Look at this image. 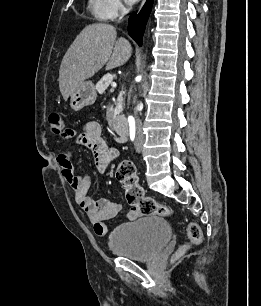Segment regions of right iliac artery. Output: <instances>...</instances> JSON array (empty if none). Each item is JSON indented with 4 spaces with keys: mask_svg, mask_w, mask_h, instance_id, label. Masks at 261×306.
Listing matches in <instances>:
<instances>
[{
    "mask_svg": "<svg viewBox=\"0 0 261 306\" xmlns=\"http://www.w3.org/2000/svg\"><path fill=\"white\" fill-rule=\"evenodd\" d=\"M130 138L133 141L135 138V129L130 132Z\"/></svg>",
    "mask_w": 261,
    "mask_h": 306,
    "instance_id": "obj_1",
    "label": "right iliac artery"
}]
</instances>
